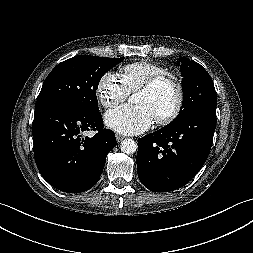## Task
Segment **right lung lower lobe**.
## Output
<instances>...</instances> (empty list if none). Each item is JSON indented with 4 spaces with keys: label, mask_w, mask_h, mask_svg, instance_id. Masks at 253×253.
Returning a JSON list of instances; mask_svg holds the SVG:
<instances>
[{
    "label": "right lung lower lobe",
    "mask_w": 253,
    "mask_h": 253,
    "mask_svg": "<svg viewBox=\"0 0 253 253\" xmlns=\"http://www.w3.org/2000/svg\"><path fill=\"white\" fill-rule=\"evenodd\" d=\"M89 130L97 134L82 138ZM32 134L39 172L50 185L67 193L93 187L107 154L117 144L114 132L104 129L99 111L83 114L63 107L40 108L35 111Z\"/></svg>",
    "instance_id": "right-lung-lower-lobe-1"
}]
</instances>
